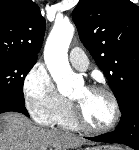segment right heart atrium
Instances as JSON below:
<instances>
[{
    "label": "right heart atrium",
    "instance_id": "d8ad5b80",
    "mask_svg": "<svg viewBox=\"0 0 139 150\" xmlns=\"http://www.w3.org/2000/svg\"><path fill=\"white\" fill-rule=\"evenodd\" d=\"M23 95L27 111L41 126L54 124L68 104V100L57 91L48 72L38 64L24 79Z\"/></svg>",
    "mask_w": 139,
    "mask_h": 150
}]
</instances>
